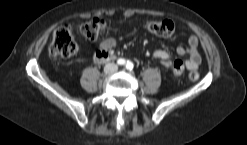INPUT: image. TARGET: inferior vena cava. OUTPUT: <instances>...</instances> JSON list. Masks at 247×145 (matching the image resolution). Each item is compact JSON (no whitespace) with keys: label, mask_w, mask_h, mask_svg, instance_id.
Masks as SVG:
<instances>
[{"label":"inferior vena cava","mask_w":247,"mask_h":145,"mask_svg":"<svg viewBox=\"0 0 247 145\" xmlns=\"http://www.w3.org/2000/svg\"><path fill=\"white\" fill-rule=\"evenodd\" d=\"M118 70V66L114 63H108L104 67V71L106 73H114Z\"/></svg>","instance_id":"1"}]
</instances>
